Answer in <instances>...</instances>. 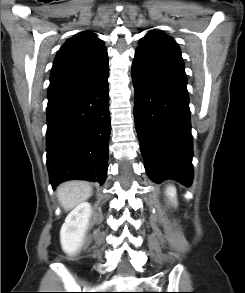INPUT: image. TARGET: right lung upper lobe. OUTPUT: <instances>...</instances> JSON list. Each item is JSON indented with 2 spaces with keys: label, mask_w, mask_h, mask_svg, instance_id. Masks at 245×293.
I'll use <instances>...</instances> for the list:
<instances>
[{
  "label": "right lung upper lobe",
  "mask_w": 245,
  "mask_h": 293,
  "mask_svg": "<svg viewBox=\"0 0 245 293\" xmlns=\"http://www.w3.org/2000/svg\"><path fill=\"white\" fill-rule=\"evenodd\" d=\"M108 70V54L103 41L91 32L78 33L56 55L48 100L74 90Z\"/></svg>",
  "instance_id": "cb5924a9"
}]
</instances>
